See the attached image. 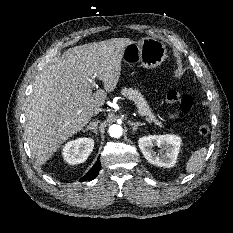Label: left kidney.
Masks as SVG:
<instances>
[{
  "label": "left kidney",
  "instance_id": "5707ae66",
  "mask_svg": "<svg viewBox=\"0 0 233 233\" xmlns=\"http://www.w3.org/2000/svg\"><path fill=\"white\" fill-rule=\"evenodd\" d=\"M139 148L146 160L156 166L170 168L177 162L181 146V138L177 135H149L139 138ZM161 147L156 152L153 147Z\"/></svg>",
  "mask_w": 233,
  "mask_h": 233
}]
</instances>
